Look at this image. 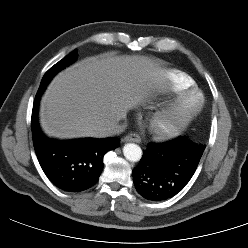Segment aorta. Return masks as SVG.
I'll return each instance as SVG.
<instances>
[{
  "instance_id": "1",
  "label": "aorta",
  "mask_w": 248,
  "mask_h": 248,
  "mask_svg": "<svg viewBox=\"0 0 248 248\" xmlns=\"http://www.w3.org/2000/svg\"><path fill=\"white\" fill-rule=\"evenodd\" d=\"M123 154L127 160L137 162L142 157V150L137 144L127 143L123 147Z\"/></svg>"
}]
</instances>
